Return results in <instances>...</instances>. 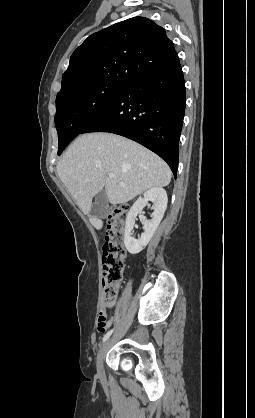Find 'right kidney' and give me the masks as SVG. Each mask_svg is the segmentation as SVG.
Returning <instances> with one entry per match:
<instances>
[{"label": "right kidney", "instance_id": "1", "mask_svg": "<svg viewBox=\"0 0 255 418\" xmlns=\"http://www.w3.org/2000/svg\"><path fill=\"white\" fill-rule=\"evenodd\" d=\"M148 201L153 202L154 211L151 214L150 220L143 221L144 232L141 234V237L134 239L132 237V230L135 226L136 217L142 212V209ZM167 202L168 198L166 191L163 188L156 187L146 191L130 208L126 218L124 234V244L129 253L137 254L149 243L164 216Z\"/></svg>", "mask_w": 255, "mask_h": 418}]
</instances>
